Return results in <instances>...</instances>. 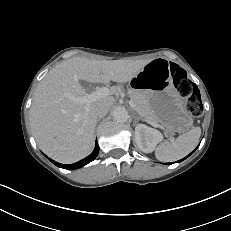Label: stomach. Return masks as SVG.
I'll use <instances>...</instances> for the list:
<instances>
[{
	"mask_svg": "<svg viewBox=\"0 0 231 231\" xmlns=\"http://www.w3.org/2000/svg\"><path fill=\"white\" fill-rule=\"evenodd\" d=\"M131 85L147 99L167 135L191 128L193 116L174 86L167 60H151L132 78Z\"/></svg>",
	"mask_w": 231,
	"mask_h": 231,
	"instance_id": "1",
	"label": "stomach"
}]
</instances>
